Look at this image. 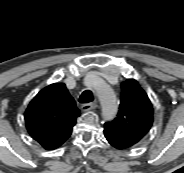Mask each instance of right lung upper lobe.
Returning a JSON list of instances; mask_svg holds the SVG:
<instances>
[{"instance_id":"cb5924a9","label":"right lung upper lobe","mask_w":184,"mask_h":173,"mask_svg":"<svg viewBox=\"0 0 184 173\" xmlns=\"http://www.w3.org/2000/svg\"><path fill=\"white\" fill-rule=\"evenodd\" d=\"M80 115L74 99L64 83L42 89L25 112L29 134L46 150L60 147L71 135Z\"/></svg>"}]
</instances>
